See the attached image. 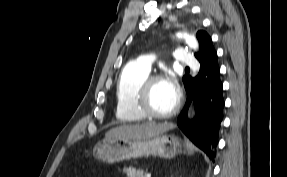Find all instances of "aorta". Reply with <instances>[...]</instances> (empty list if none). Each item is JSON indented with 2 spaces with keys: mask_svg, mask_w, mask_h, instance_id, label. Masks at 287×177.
<instances>
[{
  "mask_svg": "<svg viewBox=\"0 0 287 177\" xmlns=\"http://www.w3.org/2000/svg\"><path fill=\"white\" fill-rule=\"evenodd\" d=\"M178 37L184 38L185 41H186V43H187L191 48L196 49V48L198 47V42H197V40H196V38H195L194 36L189 35V34H187V33H184V34L179 33V34H178Z\"/></svg>",
  "mask_w": 287,
  "mask_h": 177,
  "instance_id": "1",
  "label": "aorta"
}]
</instances>
